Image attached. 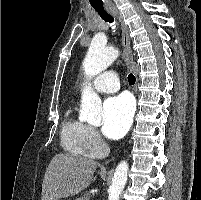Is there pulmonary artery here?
I'll return each mask as SVG.
<instances>
[{
	"instance_id": "pulmonary-artery-1",
	"label": "pulmonary artery",
	"mask_w": 201,
	"mask_h": 200,
	"mask_svg": "<svg viewBox=\"0 0 201 200\" xmlns=\"http://www.w3.org/2000/svg\"><path fill=\"white\" fill-rule=\"evenodd\" d=\"M92 85L96 91L101 93L116 92L120 87L118 75L114 71L99 74L92 81Z\"/></svg>"
}]
</instances>
